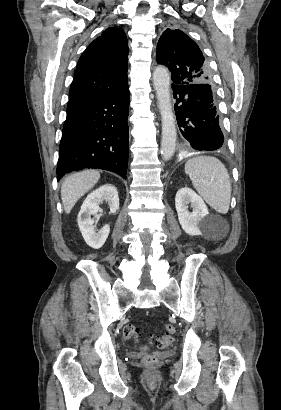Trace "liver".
<instances>
[{"label":"liver","mask_w":281,"mask_h":410,"mask_svg":"<svg viewBox=\"0 0 281 410\" xmlns=\"http://www.w3.org/2000/svg\"><path fill=\"white\" fill-rule=\"evenodd\" d=\"M100 179L95 170H85L67 177L61 186V199L66 214H69L75 203L88 192Z\"/></svg>","instance_id":"obj_1"}]
</instances>
